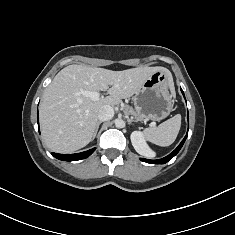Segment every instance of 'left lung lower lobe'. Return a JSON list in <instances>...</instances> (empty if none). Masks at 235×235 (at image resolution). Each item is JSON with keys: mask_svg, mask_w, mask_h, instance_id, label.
<instances>
[{"mask_svg": "<svg viewBox=\"0 0 235 235\" xmlns=\"http://www.w3.org/2000/svg\"><path fill=\"white\" fill-rule=\"evenodd\" d=\"M181 91H182V89H181ZM182 94L184 95L183 91H182ZM187 136H188V132H187L186 136L184 137V139L181 141V143L178 145V147L172 153H170L168 156H166L162 159H158V160H149V159H144V158H142L141 160L144 162L150 163V164H164V163L170 161L182 148Z\"/></svg>", "mask_w": 235, "mask_h": 235, "instance_id": "1", "label": "left lung lower lobe"}]
</instances>
